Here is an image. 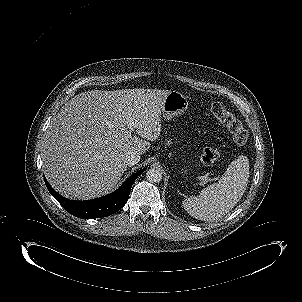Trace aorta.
I'll use <instances>...</instances> for the list:
<instances>
[{"instance_id":"762f6f07","label":"aorta","mask_w":302,"mask_h":302,"mask_svg":"<svg viewBox=\"0 0 302 302\" xmlns=\"http://www.w3.org/2000/svg\"><path fill=\"white\" fill-rule=\"evenodd\" d=\"M146 178L151 183H159L162 180V172L159 168H150L146 172Z\"/></svg>"}]
</instances>
